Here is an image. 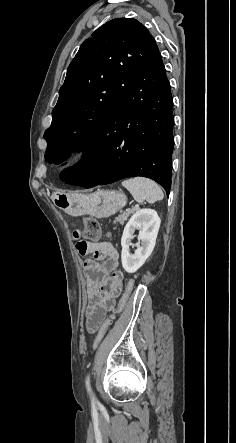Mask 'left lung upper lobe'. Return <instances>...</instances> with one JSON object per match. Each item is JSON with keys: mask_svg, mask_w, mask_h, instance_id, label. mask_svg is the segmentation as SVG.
<instances>
[{"mask_svg": "<svg viewBox=\"0 0 236 443\" xmlns=\"http://www.w3.org/2000/svg\"><path fill=\"white\" fill-rule=\"evenodd\" d=\"M157 47L139 21L117 18L86 39L70 63L45 131L46 161L84 149Z\"/></svg>", "mask_w": 236, "mask_h": 443, "instance_id": "left-lung-upper-lobe-1", "label": "left lung upper lobe"}]
</instances>
